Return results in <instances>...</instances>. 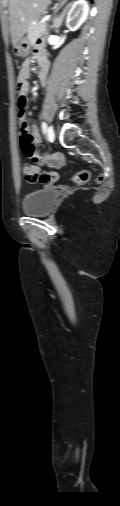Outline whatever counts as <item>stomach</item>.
Listing matches in <instances>:
<instances>
[{
  "label": "stomach",
  "mask_w": 120,
  "mask_h": 506,
  "mask_svg": "<svg viewBox=\"0 0 120 506\" xmlns=\"http://www.w3.org/2000/svg\"><path fill=\"white\" fill-rule=\"evenodd\" d=\"M31 44L27 37H22L15 45H13V54L19 58L28 56Z\"/></svg>",
  "instance_id": "0dacf381"
}]
</instances>
